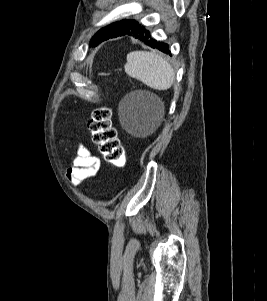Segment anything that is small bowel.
<instances>
[{"label": "small bowel", "mask_w": 267, "mask_h": 301, "mask_svg": "<svg viewBox=\"0 0 267 301\" xmlns=\"http://www.w3.org/2000/svg\"><path fill=\"white\" fill-rule=\"evenodd\" d=\"M100 158L81 143L76 145V155L67 170V177L73 185H82L87 179L94 177L100 170Z\"/></svg>", "instance_id": "c3829d8e"}]
</instances>
